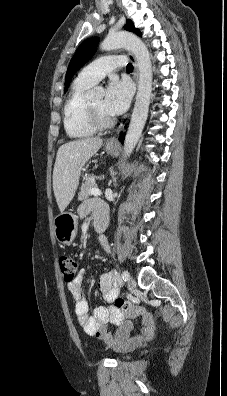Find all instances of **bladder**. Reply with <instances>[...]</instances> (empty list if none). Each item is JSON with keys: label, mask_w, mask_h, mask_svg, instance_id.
Segmentation results:
<instances>
[{"label": "bladder", "mask_w": 227, "mask_h": 396, "mask_svg": "<svg viewBox=\"0 0 227 396\" xmlns=\"http://www.w3.org/2000/svg\"><path fill=\"white\" fill-rule=\"evenodd\" d=\"M116 357L119 359H126V358H128V355L125 352H122V353L118 354Z\"/></svg>", "instance_id": "obj_1"}]
</instances>
